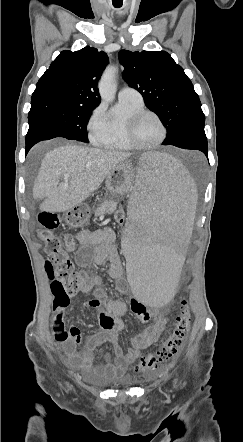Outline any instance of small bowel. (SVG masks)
<instances>
[{"instance_id": "obj_1", "label": "small bowel", "mask_w": 243, "mask_h": 442, "mask_svg": "<svg viewBox=\"0 0 243 442\" xmlns=\"http://www.w3.org/2000/svg\"><path fill=\"white\" fill-rule=\"evenodd\" d=\"M76 240L81 248L75 254V261L79 266L102 265L109 263V275L115 280L116 288L120 293L129 291V282L125 279L123 264L113 246L115 232L111 227H104L95 231L81 230L76 234ZM97 286L90 292L92 299L83 304L85 310H96L101 331L87 341L82 352L76 350L81 341V331L75 325L65 326L64 316L66 308L54 309L52 328L56 341L60 344L66 362L69 366L79 369L84 377L96 383H104L123 375L128 367L139 357L141 352L155 343L166 327V320L158 309L148 313L141 302L131 301V311L141 322L152 320V323L142 332L131 337V347L124 351L118 340V333L124 325L122 317L129 307L125 302L111 300L105 297V290L101 281L96 278ZM108 342L113 347V357L103 356L102 362L96 361L95 350L103 343Z\"/></svg>"}]
</instances>
